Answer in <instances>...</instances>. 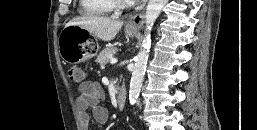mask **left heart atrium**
<instances>
[{
	"label": "left heart atrium",
	"instance_id": "left-heart-atrium-1",
	"mask_svg": "<svg viewBox=\"0 0 257 130\" xmlns=\"http://www.w3.org/2000/svg\"><path fill=\"white\" fill-rule=\"evenodd\" d=\"M131 1H133V3H134V2H140V1H143V0H131Z\"/></svg>",
	"mask_w": 257,
	"mask_h": 130
}]
</instances>
